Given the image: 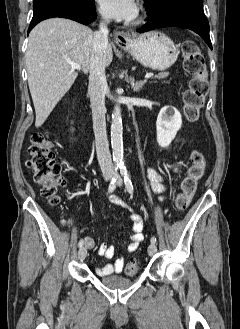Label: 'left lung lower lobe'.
<instances>
[{"label":"left lung lower lobe","instance_id":"1","mask_svg":"<svg viewBox=\"0 0 240 329\" xmlns=\"http://www.w3.org/2000/svg\"><path fill=\"white\" fill-rule=\"evenodd\" d=\"M148 15V21L137 31L148 32L157 28L177 26L199 34L212 49L209 36V23L203 11V2L194 0H173Z\"/></svg>","mask_w":240,"mask_h":329}]
</instances>
